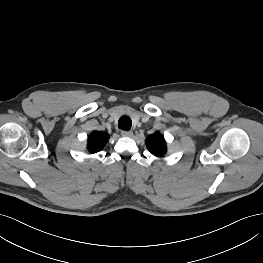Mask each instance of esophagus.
<instances>
[{
    "label": "esophagus",
    "instance_id": "34e87169",
    "mask_svg": "<svg viewBox=\"0 0 263 263\" xmlns=\"http://www.w3.org/2000/svg\"><path fill=\"white\" fill-rule=\"evenodd\" d=\"M121 135L123 137H131L133 135V132L132 131L123 130V131H121Z\"/></svg>",
    "mask_w": 263,
    "mask_h": 263
}]
</instances>
